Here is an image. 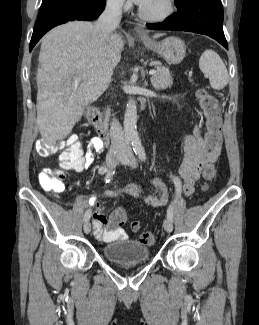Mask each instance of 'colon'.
<instances>
[{
    "instance_id": "obj_1",
    "label": "colon",
    "mask_w": 259,
    "mask_h": 325,
    "mask_svg": "<svg viewBox=\"0 0 259 325\" xmlns=\"http://www.w3.org/2000/svg\"><path fill=\"white\" fill-rule=\"evenodd\" d=\"M197 98L200 108L205 117L206 133L205 141L209 148L215 149L221 142V116L218 100L206 89L197 91ZM65 149L61 153L60 159L62 167L68 169L73 166L82 156L83 148L77 137L71 136L65 141ZM61 144L46 143L42 140L37 141L36 151L40 156H49L61 149ZM216 174L214 166H209L204 170L203 176L206 181H211ZM65 178L64 170L44 169L40 172L38 180L40 186L48 192L61 193L64 189L63 180ZM126 211L124 208L115 210L110 218L109 223L113 228L121 227L126 221ZM131 229L135 232L140 230V222L133 221ZM140 242L146 245H153L155 235L151 231L143 232L139 237Z\"/></svg>"
}]
</instances>
